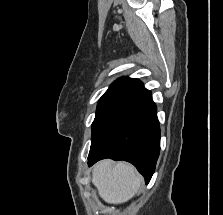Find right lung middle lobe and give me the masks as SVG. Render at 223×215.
<instances>
[{
  "label": "right lung middle lobe",
  "instance_id": "1",
  "mask_svg": "<svg viewBox=\"0 0 223 215\" xmlns=\"http://www.w3.org/2000/svg\"><path fill=\"white\" fill-rule=\"evenodd\" d=\"M146 97L127 92L104 94L92 123L90 152H93L110 131Z\"/></svg>",
  "mask_w": 223,
  "mask_h": 215
}]
</instances>
